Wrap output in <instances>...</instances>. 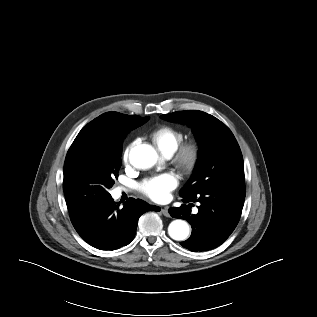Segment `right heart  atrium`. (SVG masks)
<instances>
[{
    "instance_id": "d8ad5b80",
    "label": "right heart atrium",
    "mask_w": 317,
    "mask_h": 317,
    "mask_svg": "<svg viewBox=\"0 0 317 317\" xmlns=\"http://www.w3.org/2000/svg\"><path fill=\"white\" fill-rule=\"evenodd\" d=\"M132 146H133V143L129 144L122 154V161L124 164H127L129 161V153Z\"/></svg>"
}]
</instances>
